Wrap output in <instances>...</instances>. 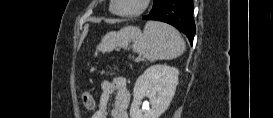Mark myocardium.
Masks as SVG:
<instances>
[{
    "instance_id": "1",
    "label": "myocardium",
    "mask_w": 273,
    "mask_h": 118,
    "mask_svg": "<svg viewBox=\"0 0 273 118\" xmlns=\"http://www.w3.org/2000/svg\"><path fill=\"white\" fill-rule=\"evenodd\" d=\"M117 2L118 0H112L111 2V10L114 14L120 17H135L142 14L147 9L150 0H142L140 8L131 12H121L117 10Z\"/></svg>"
}]
</instances>
